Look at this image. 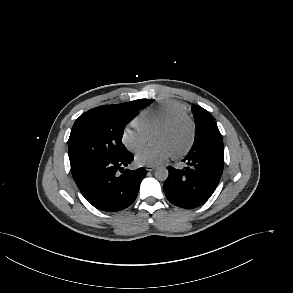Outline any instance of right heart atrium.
I'll list each match as a JSON object with an SVG mask.
<instances>
[{
    "label": "right heart atrium",
    "mask_w": 293,
    "mask_h": 293,
    "mask_svg": "<svg viewBox=\"0 0 293 293\" xmlns=\"http://www.w3.org/2000/svg\"><path fill=\"white\" fill-rule=\"evenodd\" d=\"M147 135L136 125L124 127L121 133L122 144L131 152L140 151L146 144Z\"/></svg>",
    "instance_id": "right-heart-atrium-1"
}]
</instances>
